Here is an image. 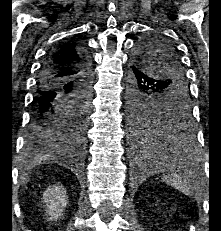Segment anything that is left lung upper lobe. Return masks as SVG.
I'll return each instance as SVG.
<instances>
[{
	"instance_id": "1",
	"label": "left lung upper lobe",
	"mask_w": 221,
	"mask_h": 231,
	"mask_svg": "<svg viewBox=\"0 0 221 231\" xmlns=\"http://www.w3.org/2000/svg\"><path fill=\"white\" fill-rule=\"evenodd\" d=\"M135 61L163 86L145 98L136 117H130L131 130L140 138H152L164 127L189 119V87L177 48L164 35L150 33L138 41Z\"/></svg>"
}]
</instances>
